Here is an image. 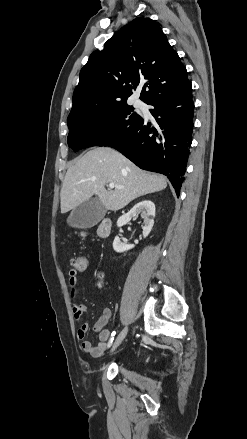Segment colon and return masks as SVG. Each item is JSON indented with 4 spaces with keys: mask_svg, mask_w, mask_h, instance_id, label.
Returning <instances> with one entry per match:
<instances>
[{
    "mask_svg": "<svg viewBox=\"0 0 247 439\" xmlns=\"http://www.w3.org/2000/svg\"><path fill=\"white\" fill-rule=\"evenodd\" d=\"M85 236V234H83ZM71 267L72 270H75L77 272H83L88 267V259L85 256H77L72 258L71 260Z\"/></svg>",
    "mask_w": 247,
    "mask_h": 439,
    "instance_id": "1",
    "label": "colon"
}]
</instances>
